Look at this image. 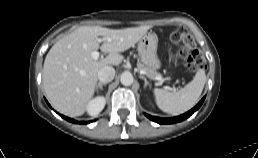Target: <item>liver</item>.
<instances>
[{
  "label": "liver",
  "instance_id": "6515ba94",
  "mask_svg": "<svg viewBox=\"0 0 258 158\" xmlns=\"http://www.w3.org/2000/svg\"><path fill=\"white\" fill-rule=\"evenodd\" d=\"M148 29L149 26L125 29L82 26L57 41L45 58L42 75L51 105L70 117L82 115L94 96L98 71L120 65L124 58L119 53L134 46ZM99 36L104 37L101 46ZM99 47L109 55L95 60L91 53Z\"/></svg>",
  "mask_w": 258,
  "mask_h": 158
}]
</instances>
